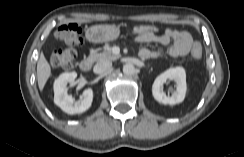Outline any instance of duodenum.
I'll list each match as a JSON object with an SVG mask.
<instances>
[{
  "label": "duodenum",
  "mask_w": 244,
  "mask_h": 157,
  "mask_svg": "<svg viewBox=\"0 0 244 157\" xmlns=\"http://www.w3.org/2000/svg\"><path fill=\"white\" fill-rule=\"evenodd\" d=\"M93 60L90 57L84 58L80 61L79 67L83 72H89L92 68Z\"/></svg>",
  "instance_id": "duodenum-1"
}]
</instances>
